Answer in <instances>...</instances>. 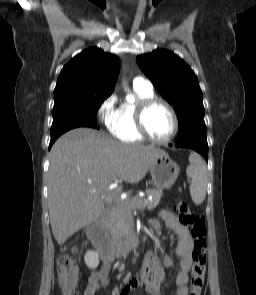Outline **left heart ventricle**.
Segmentation results:
<instances>
[{
  "label": "left heart ventricle",
  "mask_w": 256,
  "mask_h": 295,
  "mask_svg": "<svg viewBox=\"0 0 256 295\" xmlns=\"http://www.w3.org/2000/svg\"><path fill=\"white\" fill-rule=\"evenodd\" d=\"M146 124L149 132L156 138L168 137L173 130V119L166 107L156 104L146 114Z\"/></svg>",
  "instance_id": "obj_1"
}]
</instances>
